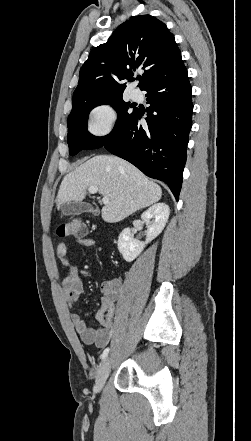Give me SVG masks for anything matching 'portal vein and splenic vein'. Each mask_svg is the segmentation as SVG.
<instances>
[{
    "instance_id": "obj_1",
    "label": "portal vein and splenic vein",
    "mask_w": 251,
    "mask_h": 441,
    "mask_svg": "<svg viewBox=\"0 0 251 441\" xmlns=\"http://www.w3.org/2000/svg\"><path fill=\"white\" fill-rule=\"evenodd\" d=\"M88 191H89L91 194H95V193L98 192V188H97L96 186H92V187H90V188L88 189ZM102 202H103V204H108V203H109V198H107V197H103V198H102Z\"/></svg>"
}]
</instances>
